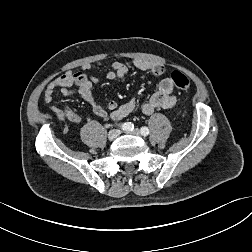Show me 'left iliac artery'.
Segmentation results:
<instances>
[{"label": "left iliac artery", "mask_w": 252, "mask_h": 252, "mask_svg": "<svg viewBox=\"0 0 252 252\" xmlns=\"http://www.w3.org/2000/svg\"><path fill=\"white\" fill-rule=\"evenodd\" d=\"M149 129L147 128V127H142L141 128V134L143 135V136H147L148 134H149Z\"/></svg>", "instance_id": "left-iliac-artery-1"}]
</instances>
